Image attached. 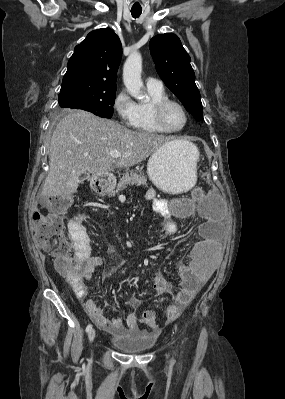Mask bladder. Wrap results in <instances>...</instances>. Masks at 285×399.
I'll list each match as a JSON object with an SVG mask.
<instances>
[{
  "mask_svg": "<svg viewBox=\"0 0 285 399\" xmlns=\"http://www.w3.org/2000/svg\"><path fill=\"white\" fill-rule=\"evenodd\" d=\"M154 336L152 332L136 331L134 335L124 337H113L111 343L117 349L129 354L143 353L154 345Z\"/></svg>",
  "mask_w": 285,
  "mask_h": 399,
  "instance_id": "31cf9c89",
  "label": "bladder"
}]
</instances>
